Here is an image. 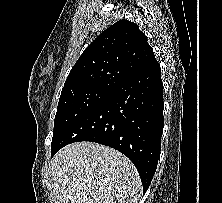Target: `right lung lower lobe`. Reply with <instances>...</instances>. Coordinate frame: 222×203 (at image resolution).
Here are the masks:
<instances>
[{
	"label": "right lung lower lobe",
	"instance_id": "98d812e1",
	"mask_svg": "<svg viewBox=\"0 0 222 203\" xmlns=\"http://www.w3.org/2000/svg\"><path fill=\"white\" fill-rule=\"evenodd\" d=\"M163 83L157 60L117 85L51 145V157L67 144L91 141L112 147L136 166L145 193L155 174L163 131Z\"/></svg>",
	"mask_w": 222,
	"mask_h": 203
}]
</instances>
